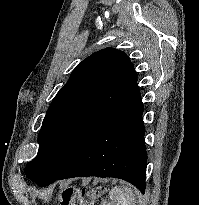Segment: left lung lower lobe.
<instances>
[{"label":"left lung lower lobe","instance_id":"left-lung-lower-lobe-1","mask_svg":"<svg viewBox=\"0 0 199 205\" xmlns=\"http://www.w3.org/2000/svg\"><path fill=\"white\" fill-rule=\"evenodd\" d=\"M143 104L137 82L128 95L96 126L81 151L59 177H114L145 192L147 152L142 120Z\"/></svg>","mask_w":199,"mask_h":205}]
</instances>
